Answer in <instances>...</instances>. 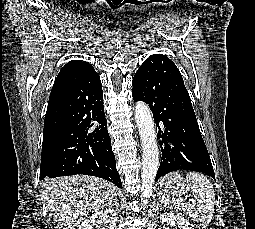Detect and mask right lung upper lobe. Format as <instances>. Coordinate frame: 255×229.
<instances>
[{
	"instance_id": "cb5924a9",
	"label": "right lung upper lobe",
	"mask_w": 255,
	"mask_h": 229,
	"mask_svg": "<svg viewBox=\"0 0 255 229\" xmlns=\"http://www.w3.org/2000/svg\"><path fill=\"white\" fill-rule=\"evenodd\" d=\"M91 65L82 60L68 62L59 72L52 88L49 101L62 96L69 84L80 74L84 73Z\"/></svg>"
}]
</instances>
